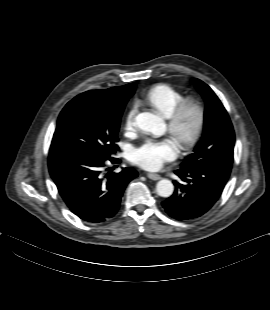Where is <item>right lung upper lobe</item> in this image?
Instances as JSON below:
<instances>
[{
	"label": "right lung upper lobe",
	"mask_w": 270,
	"mask_h": 310,
	"mask_svg": "<svg viewBox=\"0 0 270 310\" xmlns=\"http://www.w3.org/2000/svg\"><path fill=\"white\" fill-rule=\"evenodd\" d=\"M135 83H130L125 86L112 87L105 90H92L100 94L107 102L118 110L124 109L128 99L134 93Z\"/></svg>",
	"instance_id": "1"
}]
</instances>
